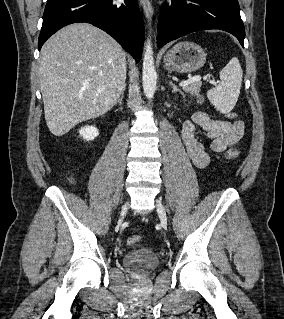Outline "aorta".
Here are the masks:
<instances>
[{"label": "aorta", "mask_w": 284, "mask_h": 319, "mask_svg": "<svg viewBox=\"0 0 284 319\" xmlns=\"http://www.w3.org/2000/svg\"><path fill=\"white\" fill-rule=\"evenodd\" d=\"M143 90L147 99L151 100L156 91L157 73L155 69L151 38H147L144 47L142 67Z\"/></svg>", "instance_id": "762f6f07"}]
</instances>
